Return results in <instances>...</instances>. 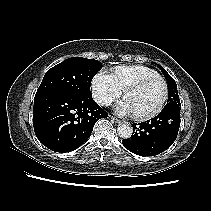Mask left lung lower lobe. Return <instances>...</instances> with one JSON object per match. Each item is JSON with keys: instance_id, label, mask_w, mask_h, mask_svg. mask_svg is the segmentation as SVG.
<instances>
[{"instance_id": "left-lung-lower-lobe-1", "label": "left lung lower lobe", "mask_w": 211, "mask_h": 211, "mask_svg": "<svg viewBox=\"0 0 211 211\" xmlns=\"http://www.w3.org/2000/svg\"><path fill=\"white\" fill-rule=\"evenodd\" d=\"M132 126L133 135L122 140L124 147L140 156H155L175 141L180 127V110H162L151 120Z\"/></svg>"}]
</instances>
